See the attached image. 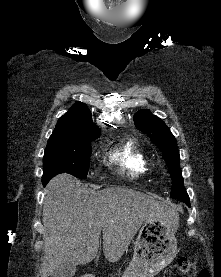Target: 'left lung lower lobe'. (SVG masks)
I'll list each match as a JSON object with an SVG mask.
<instances>
[{"instance_id":"left-lung-lower-lobe-1","label":"left lung lower lobe","mask_w":221,"mask_h":277,"mask_svg":"<svg viewBox=\"0 0 221 277\" xmlns=\"http://www.w3.org/2000/svg\"><path fill=\"white\" fill-rule=\"evenodd\" d=\"M183 202H185L190 207V200H189V198L185 199Z\"/></svg>"}]
</instances>
